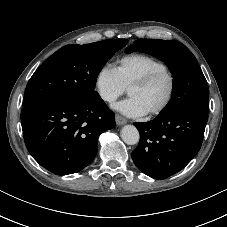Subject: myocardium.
Here are the masks:
<instances>
[{
  "instance_id": "f54148a6",
  "label": "myocardium",
  "mask_w": 227,
  "mask_h": 227,
  "mask_svg": "<svg viewBox=\"0 0 227 227\" xmlns=\"http://www.w3.org/2000/svg\"><path fill=\"white\" fill-rule=\"evenodd\" d=\"M161 75H166L170 80L169 92H168V95H167L166 99L164 100V102L158 108L145 114L149 118L162 114L171 104L175 91H176V77H175L174 73L167 67L161 68V69H156L154 71L147 73L146 75L142 76L141 78L135 80L133 83H131L128 86V91L132 88L145 87Z\"/></svg>"
}]
</instances>
